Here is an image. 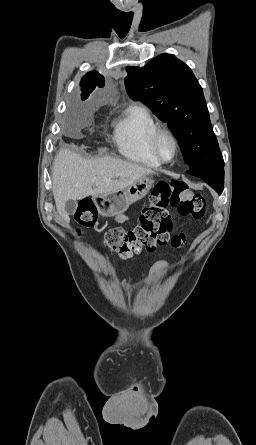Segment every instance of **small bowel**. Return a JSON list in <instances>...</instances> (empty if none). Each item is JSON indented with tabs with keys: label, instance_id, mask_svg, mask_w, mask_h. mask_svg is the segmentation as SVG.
<instances>
[{
	"label": "small bowel",
	"instance_id": "c3829d8e",
	"mask_svg": "<svg viewBox=\"0 0 256 445\" xmlns=\"http://www.w3.org/2000/svg\"><path fill=\"white\" fill-rule=\"evenodd\" d=\"M185 242V235L183 233L175 234L170 240V247L176 251L180 250ZM169 266L166 260H159L154 263L151 268V280L158 281L159 273L162 269Z\"/></svg>",
	"mask_w": 256,
	"mask_h": 445
}]
</instances>
